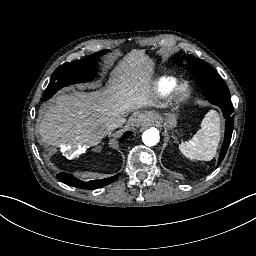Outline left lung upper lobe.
Here are the masks:
<instances>
[{
    "mask_svg": "<svg viewBox=\"0 0 256 256\" xmlns=\"http://www.w3.org/2000/svg\"><path fill=\"white\" fill-rule=\"evenodd\" d=\"M181 65V60L176 59ZM186 68L196 76V82L212 104L218 105L226 119L225 139L221 148L218 165L224 159L229 147L234 126L233 105L228 87L216 71L201 59L188 58Z\"/></svg>",
    "mask_w": 256,
    "mask_h": 256,
    "instance_id": "1",
    "label": "left lung upper lobe"
}]
</instances>
